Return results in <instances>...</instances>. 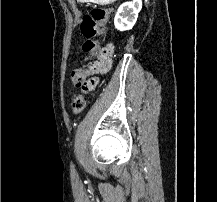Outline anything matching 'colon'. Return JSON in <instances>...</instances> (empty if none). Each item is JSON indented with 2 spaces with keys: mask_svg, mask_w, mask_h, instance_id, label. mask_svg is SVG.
<instances>
[{
  "mask_svg": "<svg viewBox=\"0 0 217 202\" xmlns=\"http://www.w3.org/2000/svg\"><path fill=\"white\" fill-rule=\"evenodd\" d=\"M108 16L109 10L100 7H95L89 10L83 16L80 24V31L85 38L82 46V54L85 57L92 56L96 52V37L99 34L106 32V23L108 21ZM86 74H88V69L86 67H79L71 72L70 80L75 88L77 85H85V82L89 81V79H86L85 77ZM91 90L89 92H91ZM85 106L86 100L78 99L75 100L73 110L75 113H79L85 108Z\"/></svg>",
  "mask_w": 217,
  "mask_h": 202,
  "instance_id": "obj_1",
  "label": "colon"
}]
</instances>
